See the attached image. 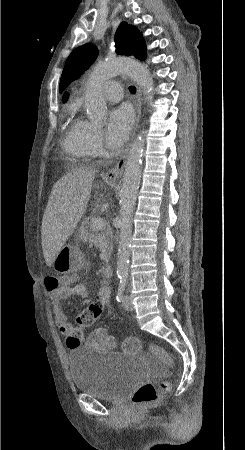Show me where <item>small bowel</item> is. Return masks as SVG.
Segmentation results:
<instances>
[{
  "label": "small bowel",
  "mask_w": 245,
  "mask_h": 450,
  "mask_svg": "<svg viewBox=\"0 0 245 450\" xmlns=\"http://www.w3.org/2000/svg\"><path fill=\"white\" fill-rule=\"evenodd\" d=\"M71 296L88 299L90 296V290L83 284H68L57 292L49 293V298L51 299V315L56 325L65 334H69L74 330L73 325L67 320L63 304V301ZM98 297L103 306L108 305L110 298V286L107 282H104L101 285ZM114 345L115 341L113 337L108 335L103 330L91 332L83 342V346L88 348L110 349Z\"/></svg>",
  "instance_id": "1"
}]
</instances>
